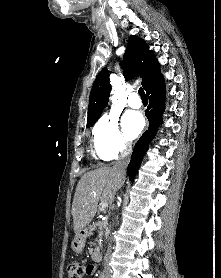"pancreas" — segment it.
<instances>
[{"label":"pancreas","mask_w":221,"mask_h":278,"mask_svg":"<svg viewBox=\"0 0 221 278\" xmlns=\"http://www.w3.org/2000/svg\"><path fill=\"white\" fill-rule=\"evenodd\" d=\"M91 226L95 227L98 234H103L104 231H103V223L102 222H92Z\"/></svg>","instance_id":"1"}]
</instances>
